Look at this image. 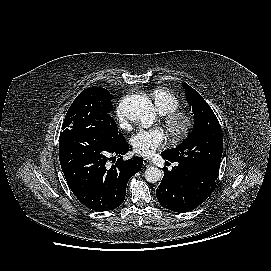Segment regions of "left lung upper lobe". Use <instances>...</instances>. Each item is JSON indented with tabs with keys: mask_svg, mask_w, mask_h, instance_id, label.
I'll use <instances>...</instances> for the list:
<instances>
[{
	"mask_svg": "<svg viewBox=\"0 0 271 271\" xmlns=\"http://www.w3.org/2000/svg\"><path fill=\"white\" fill-rule=\"evenodd\" d=\"M183 86L194 113V129L179 146L165 150L161 154L172 162L192 167L216 180L223 152L221 126L202 96L188 84L185 83Z\"/></svg>",
	"mask_w": 271,
	"mask_h": 271,
	"instance_id": "left-lung-upper-lobe-1",
	"label": "left lung upper lobe"
}]
</instances>
